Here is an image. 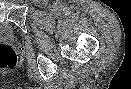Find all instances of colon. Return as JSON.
<instances>
[{
  "label": "colon",
  "instance_id": "obj_1",
  "mask_svg": "<svg viewBox=\"0 0 131 89\" xmlns=\"http://www.w3.org/2000/svg\"><path fill=\"white\" fill-rule=\"evenodd\" d=\"M16 65L15 51L8 45L0 44V69H14Z\"/></svg>",
  "mask_w": 131,
  "mask_h": 89
}]
</instances>
